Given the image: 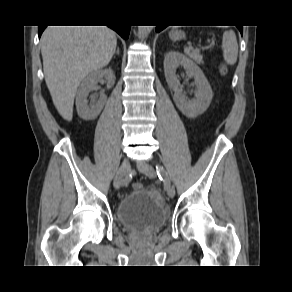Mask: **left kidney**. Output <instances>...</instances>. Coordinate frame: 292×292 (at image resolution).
Instances as JSON below:
<instances>
[{
    "label": "left kidney",
    "instance_id": "obj_1",
    "mask_svg": "<svg viewBox=\"0 0 292 292\" xmlns=\"http://www.w3.org/2000/svg\"><path fill=\"white\" fill-rule=\"evenodd\" d=\"M184 67L189 77H194L196 86L194 100H188L182 89L179 88V80L176 69ZM164 73L168 86L173 90V100L177 108L188 118H196L203 114L209 107L213 92L204 73L192 60L185 55L171 51L166 54L164 59Z\"/></svg>",
    "mask_w": 292,
    "mask_h": 292
}]
</instances>
